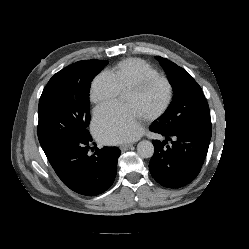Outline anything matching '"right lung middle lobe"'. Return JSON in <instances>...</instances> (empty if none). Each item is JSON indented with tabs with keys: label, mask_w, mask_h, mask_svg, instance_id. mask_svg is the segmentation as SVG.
<instances>
[{
	"label": "right lung middle lobe",
	"mask_w": 249,
	"mask_h": 249,
	"mask_svg": "<svg viewBox=\"0 0 249 249\" xmlns=\"http://www.w3.org/2000/svg\"><path fill=\"white\" fill-rule=\"evenodd\" d=\"M108 64L85 60L56 73L44 88L38 106V139L44 149L65 138L89 137L91 81Z\"/></svg>",
	"instance_id": "dd1d6c3e"
}]
</instances>
